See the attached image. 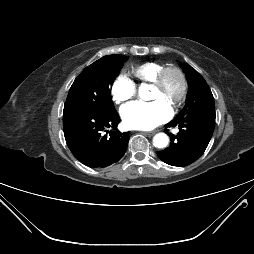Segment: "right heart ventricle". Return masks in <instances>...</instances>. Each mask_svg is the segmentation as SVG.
Returning a JSON list of instances; mask_svg holds the SVG:
<instances>
[{
	"instance_id": "obj_1",
	"label": "right heart ventricle",
	"mask_w": 254,
	"mask_h": 254,
	"mask_svg": "<svg viewBox=\"0 0 254 254\" xmlns=\"http://www.w3.org/2000/svg\"><path fill=\"white\" fill-rule=\"evenodd\" d=\"M162 67L163 65L157 62H145L133 66L130 70V75L139 84L151 83Z\"/></svg>"
}]
</instances>
